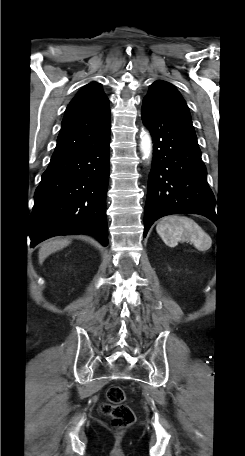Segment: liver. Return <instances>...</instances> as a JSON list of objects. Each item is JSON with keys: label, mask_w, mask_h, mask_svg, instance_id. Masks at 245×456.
I'll list each match as a JSON object with an SVG mask.
<instances>
[{"label": "liver", "mask_w": 245, "mask_h": 456, "mask_svg": "<svg viewBox=\"0 0 245 456\" xmlns=\"http://www.w3.org/2000/svg\"><path fill=\"white\" fill-rule=\"evenodd\" d=\"M70 243L69 239H55L43 243L39 249V263L42 264L44 260L52 253L59 251Z\"/></svg>", "instance_id": "6515ba94"}]
</instances>
